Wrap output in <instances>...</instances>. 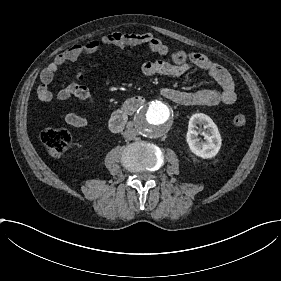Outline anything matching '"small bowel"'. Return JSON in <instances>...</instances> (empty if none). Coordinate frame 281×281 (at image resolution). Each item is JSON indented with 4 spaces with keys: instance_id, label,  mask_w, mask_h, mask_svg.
Wrapping results in <instances>:
<instances>
[{
    "instance_id": "c3829d8e",
    "label": "small bowel",
    "mask_w": 281,
    "mask_h": 281,
    "mask_svg": "<svg viewBox=\"0 0 281 281\" xmlns=\"http://www.w3.org/2000/svg\"><path fill=\"white\" fill-rule=\"evenodd\" d=\"M101 46H111L117 49L128 47H145L147 50L162 55H170L172 62L153 61L142 66L144 75H163L168 77H180L188 73L193 66L204 70L207 75L218 83L219 89L203 88L196 90H183L171 86H161L159 94L179 105H232L236 102V84L233 77L212 58L198 52H184L171 50L161 39L152 32L142 33H118L113 32L104 35L99 41L93 40L74 45L71 49L59 54L43 69L40 76L38 96L42 101H52L53 95L50 84L56 71L67 61L77 59L84 53L95 52ZM71 95L78 98L94 101L95 97L86 87L67 86L56 94V101L63 102ZM65 122L76 128L87 127L86 118L75 114H67Z\"/></svg>"
}]
</instances>
